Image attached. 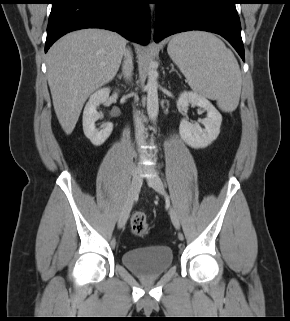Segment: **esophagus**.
Masks as SVG:
<instances>
[{"instance_id":"esophagus-1","label":"esophagus","mask_w":290,"mask_h":321,"mask_svg":"<svg viewBox=\"0 0 290 321\" xmlns=\"http://www.w3.org/2000/svg\"><path fill=\"white\" fill-rule=\"evenodd\" d=\"M150 8H151V11H153L154 6H150Z\"/></svg>"}]
</instances>
